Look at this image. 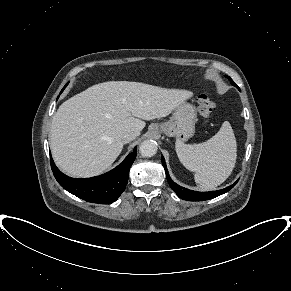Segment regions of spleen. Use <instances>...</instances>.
Wrapping results in <instances>:
<instances>
[{
    "label": "spleen",
    "instance_id": "3e777b00",
    "mask_svg": "<svg viewBox=\"0 0 291 291\" xmlns=\"http://www.w3.org/2000/svg\"><path fill=\"white\" fill-rule=\"evenodd\" d=\"M175 149L180 162L195 172V182L204 190L222 184L232 173L237 158V143L228 121L206 142L187 145L177 139Z\"/></svg>",
    "mask_w": 291,
    "mask_h": 291
}]
</instances>
